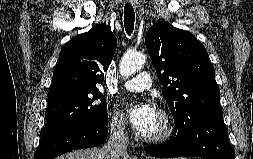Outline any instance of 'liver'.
I'll list each match as a JSON object with an SVG mask.
<instances>
[{"label": "liver", "mask_w": 253, "mask_h": 159, "mask_svg": "<svg viewBox=\"0 0 253 159\" xmlns=\"http://www.w3.org/2000/svg\"><path fill=\"white\" fill-rule=\"evenodd\" d=\"M120 157V159H131L127 154ZM56 159H107V152L105 147L80 149L59 156Z\"/></svg>", "instance_id": "6515ba94"}]
</instances>
